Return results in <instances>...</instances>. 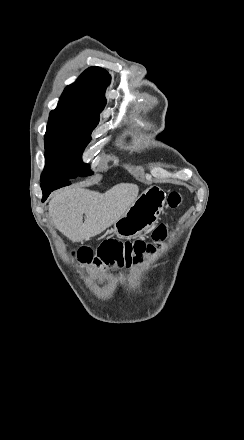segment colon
I'll use <instances>...</instances> for the list:
<instances>
[{
	"label": "colon",
	"mask_w": 244,
	"mask_h": 440,
	"mask_svg": "<svg viewBox=\"0 0 244 440\" xmlns=\"http://www.w3.org/2000/svg\"><path fill=\"white\" fill-rule=\"evenodd\" d=\"M168 205L171 209H177L182 203V197L178 192H172L168 196ZM165 226H158L152 233L151 241H144L141 239L133 242H118L105 241L97 248V253H94L92 248H75L72 254L75 257L79 256L82 261L79 264L81 271L88 269L86 262H95L98 265H103L109 271L115 269H128L132 266H140L144 263L146 257L151 256L156 246L154 242L163 240L166 237Z\"/></svg>",
	"instance_id": "obj_1"
}]
</instances>
